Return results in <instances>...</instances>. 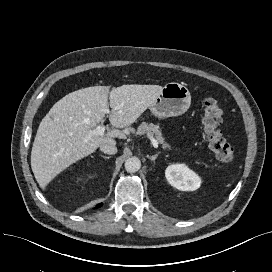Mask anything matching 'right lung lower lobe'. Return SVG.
Masks as SVG:
<instances>
[{"label": "right lung lower lobe", "instance_id": "1", "mask_svg": "<svg viewBox=\"0 0 272 272\" xmlns=\"http://www.w3.org/2000/svg\"><path fill=\"white\" fill-rule=\"evenodd\" d=\"M102 204L97 205V208L100 207Z\"/></svg>", "mask_w": 272, "mask_h": 272}]
</instances>
